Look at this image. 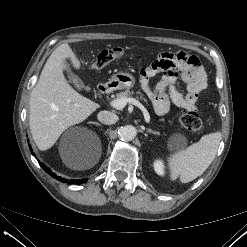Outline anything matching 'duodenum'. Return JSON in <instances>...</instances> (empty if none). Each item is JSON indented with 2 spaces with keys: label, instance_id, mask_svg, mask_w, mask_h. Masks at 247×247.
Listing matches in <instances>:
<instances>
[{
  "label": "duodenum",
  "instance_id": "1",
  "mask_svg": "<svg viewBox=\"0 0 247 247\" xmlns=\"http://www.w3.org/2000/svg\"><path fill=\"white\" fill-rule=\"evenodd\" d=\"M99 91L102 93H108L112 90V85L111 84H102L98 87Z\"/></svg>",
  "mask_w": 247,
  "mask_h": 247
}]
</instances>
